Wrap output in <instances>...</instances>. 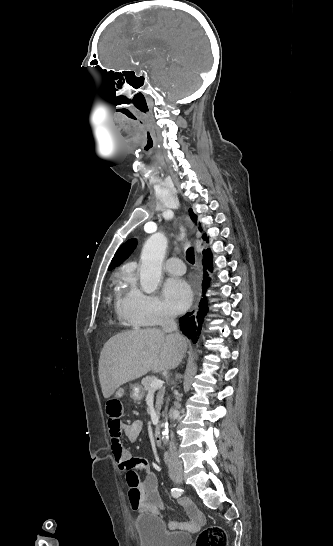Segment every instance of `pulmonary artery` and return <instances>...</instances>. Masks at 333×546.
I'll return each instance as SVG.
<instances>
[{
    "label": "pulmonary artery",
    "mask_w": 333,
    "mask_h": 546,
    "mask_svg": "<svg viewBox=\"0 0 333 546\" xmlns=\"http://www.w3.org/2000/svg\"><path fill=\"white\" fill-rule=\"evenodd\" d=\"M163 267L167 272L174 275H181L185 272V266L182 260L177 257L168 258Z\"/></svg>",
    "instance_id": "e3ab8cb5"
}]
</instances>
